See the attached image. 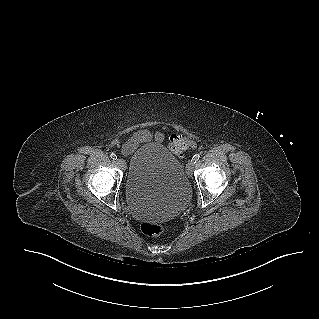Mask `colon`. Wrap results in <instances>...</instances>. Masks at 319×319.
<instances>
[{"label":"colon","mask_w":319,"mask_h":319,"mask_svg":"<svg viewBox=\"0 0 319 319\" xmlns=\"http://www.w3.org/2000/svg\"><path fill=\"white\" fill-rule=\"evenodd\" d=\"M196 144L195 140L186 130H179L177 134L170 137L168 141V148L181 155L184 150L190 148ZM141 231L148 236H159L165 231L164 226L161 223L156 222H143L140 225Z\"/></svg>","instance_id":"5ec220e1"}]
</instances>
